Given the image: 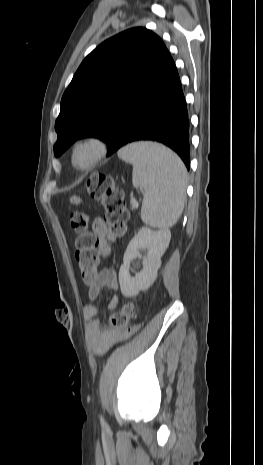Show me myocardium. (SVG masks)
Here are the masks:
<instances>
[{"label": "myocardium", "mask_w": 263, "mask_h": 465, "mask_svg": "<svg viewBox=\"0 0 263 465\" xmlns=\"http://www.w3.org/2000/svg\"><path fill=\"white\" fill-rule=\"evenodd\" d=\"M92 146L94 154L92 158L84 165L79 166L75 163V153L82 146ZM109 144L107 140L98 134H88L76 139L70 148L69 159L72 167L78 171H90L96 167L108 154Z\"/></svg>", "instance_id": "obj_1"}]
</instances>
